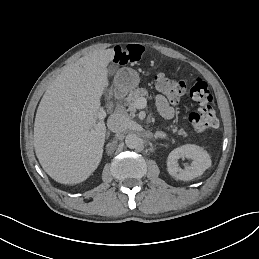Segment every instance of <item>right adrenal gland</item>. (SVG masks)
Wrapping results in <instances>:
<instances>
[{
	"instance_id": "right-adrenal-gland-1",
	"label": "right adrenal gland",
	"mask_w": 259,
	"mask_h": 259,
	"mask_svg": "<svg viewBox=\"0 0 259 259\" xmlns=\"http://www.w3.org/2000/svg\"><path fill=\"white\" fill-rule=\"evenodd\" d=\"M109 138H110V132H109V131H107V132H106V135H105V140H106V141H108V140H109Z\"/></svg>"
}]
</instances>
